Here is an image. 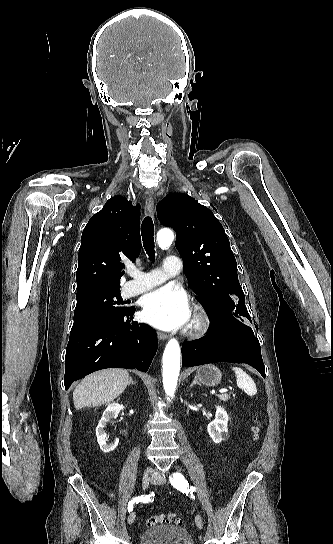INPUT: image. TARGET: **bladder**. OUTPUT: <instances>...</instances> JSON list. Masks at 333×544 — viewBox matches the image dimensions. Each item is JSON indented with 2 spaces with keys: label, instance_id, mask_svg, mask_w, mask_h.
<instances>
[{
  "label": "bladder",
  "instance_id": "1",
  "mask_svg": "<svg viewBox=\"0 0 333 544\" xmlns=\"http://www.w3.org/2000/svg\"><path fill=\"white\" fill-rule=\"evenodd\" d=\"M139 544H194V541L185 528L163 525L142 532Z\"/></svg>",
  "mask_w": 333,
  "mask_h": 544
}]
</instances>
